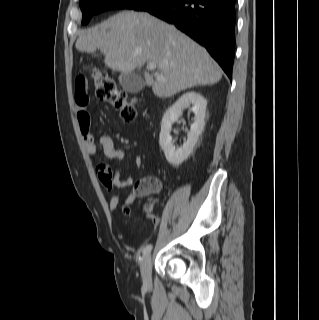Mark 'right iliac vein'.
<instances>
[{
	"instance_id": "right-iliac-vein-1",
	"label": "right iliac vein",
	"mask_w": 319,
	"mask_h": 320,
	"mask_svg": "<svg viewBox=\"0 0 319 320\" xmlns=\"http://www.w3.org/2000/svg\"><path fill=\"white\" fill-rule=\"evenodd\" d=\"M151 266H152L151 255L147 254L143 258L140 266L143 284L146 286L151 285Z\"/></svg>"
}]
</instances>
